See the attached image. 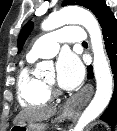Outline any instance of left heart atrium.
<instances>
[{
  "mask_svg": "<svg viewBox=\"0 0 117 131\" xmlns=\"http://www.w3.org/2000/svg\"><path fill=\"white\" fill-rule=\"evenodd\" d=\"M57 82L65 89L77 87L84 77V67L80 59L71 52L63 53L57 62Z\"/></svg>",
  "mask_w": 117,
  "mask_h": 131,
  "instance_id": "obj_1",
  "label": "left heart atrium"
}]
</instances>
